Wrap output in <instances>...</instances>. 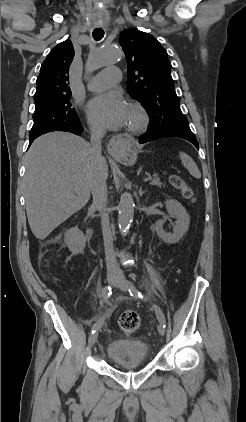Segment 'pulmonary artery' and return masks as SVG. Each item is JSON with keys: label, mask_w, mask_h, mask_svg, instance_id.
<instances>
[{"label": "pulmonary artery", "mask_w": 246, "mask_h": 422, "mask_svg": "<svg viewBox=\"0 0 246 422\" xmlns=\"http://www.w3.org/2000/svg\"><path fill=\"white\" fill-rule=\"evenodd\" d=\"M121 79V71L116 67L107 68L96 74L87 84V88L91 91H98L119 82Z\"/></svg>", "instance_id": "pulmonary-artery-1"}]
</instances>
